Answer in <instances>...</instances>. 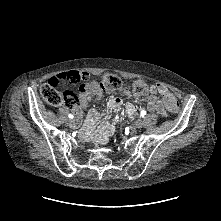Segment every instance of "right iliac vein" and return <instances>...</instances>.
Instances as JSON below:
<instances>
[{
	"label": "right iliac vein",
	"mask_w": 221,
	"mask_h": 221,
	"mask_svg": "<svg viewBox=\"0 0 221 221\" xmlns=\"http://www.w3.org/2000/svg\"><path fill=\"white\" fill-rule=\"evenodd\" d=\"M78 123H79V118L77 117L76 119L69 121L68 125L70 128H75Z\"/></svg>",
	"instance_id": "1"
}]
</instances>
